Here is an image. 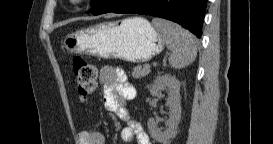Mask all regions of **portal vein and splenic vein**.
I'll return each instance as SVG.
<instances>
[{"label": "portal vein and splenic vein", "instance_id": "portal-vein-and-splenic-vein-1", "mask_svg": "<svg viewBox=\"0 0 273 144\" xmlns=\"http://www.w3.org/2000/svg\"><path fill=\"white\" fill-rule=\"evenodd\" d=\"M146 67H147V68H150V65L147 64Z\"/></svg>", "mask_w": 273, "mask_h": 144}]
</instances>
